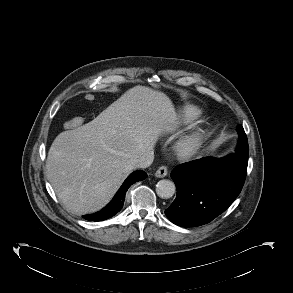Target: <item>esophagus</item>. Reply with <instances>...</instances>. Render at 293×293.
<instances>
[{
	"mask_svg": "<svg viewBox=\"0 0 293 293\" xmlns=\"http://www.w3.org/2000/svg\"><path fill=\"white\" fill-rule=\"evenodd\" d=\"M168 174V169L166 166H161L157 169V171L155 172V176L158 178H163L165 176H167Z\"/></svg>",
	"mask_w": 293,
	"mask_h": 293,
	"instance_id": "34e87169",
	"label": "esophagus"
}]
</instances>
